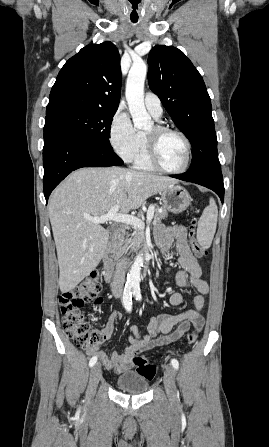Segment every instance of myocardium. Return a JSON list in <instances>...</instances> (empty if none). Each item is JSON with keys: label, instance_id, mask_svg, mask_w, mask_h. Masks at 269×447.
I'll list each match as a JSON object with an SVG mask.
<instances>
[{"label": "myocardium", "instance_id": "myocardium-1", "mask_svg": "<svg viewBox=\"0 0 269 447\" xmlns=\"http://www.w3.org/2000/svg\"><path fill=\"white\" fill-rule=\"evenodd\" d=\"M155 130L159 134L174 133V134L179 135L184 140V142L186 144V158H185V162H184L183 166L178 169H170V168L166 167L161 162V160L159 158L158 147H157V143H156L155 139H153L151 136L146 134L145 135V143H146L147 159H148L149 163L154 168H156L162 172H165V173L177 174V173L184 172L188 168V166L190 164V160H191L192 145H191V142H190V139L188 138V136L184 132H182L181 130H179L177 128H171V127L164 126V125H156Z\"/></svg>", "mask_w": 269, "mask_h": 447}]
</instances>
